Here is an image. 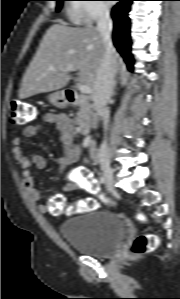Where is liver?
Listing matches in <instances>:
<instances>
[{
  "label": "liver",
  "instance_id": "obj_1",
  "mask_svg": "<svg viewBox=\"0 0 180 299\" xmlns=\"http://www.w3.org/2000/svg\"><path fill=\"white\" fill-rule=\"evenodd\" d=\"M105 53L103 37L96 27H69L62 21L53 24L43 36L35 56L22 79L19 97L62 89L70 73L78 71V82L95 88L96 74ZM115 72L121 71L122 60L113 48ZM53 66L55 71L49 70Z\"/></svg>",
  "mask_w": 180,
  "mask_h": 299
}]
</instances>
